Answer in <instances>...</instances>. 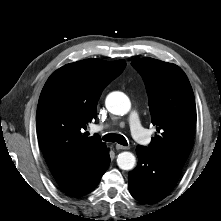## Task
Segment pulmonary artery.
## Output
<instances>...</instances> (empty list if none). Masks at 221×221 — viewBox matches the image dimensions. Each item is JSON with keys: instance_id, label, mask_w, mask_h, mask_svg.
<instances>
[{"instance_id": "pulmonary-artery-1", "label": "pulmonary artery", "mask_w": 221, "mask_h": 221, "mask_svg": "<svg viewBox=\"0 0 221 221\" xmlns=\"http://www.w3.org/2000/svg\"><path fill=\"white\" fill-rule=\"evenodd\" d=\"M129 125H130V131H131L133 138L136 141L143 143L147 137V133H146V130L143 128L139 119V115L136 111H133L130 114Z\"/></svg>"}]
</instances>
